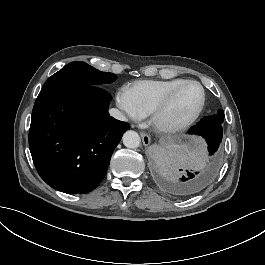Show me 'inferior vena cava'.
<instances>
[{
    "label": "inferior vena cava",
    "instance_id": "obj_1",
    "mask_svg": "<svg viewBox=\"0 0 265 265\" xmlns=\"http://www.w3.org/2000/svg\"><path fill=\"white\" fill-rule=\"evenodd\" d=\"M110 116L118 119L120 121H127V118L116 108H112L109 110Z\"/></svg>",
    "mask_w": 265,
    "mask_h": 265
}]
</instances>
